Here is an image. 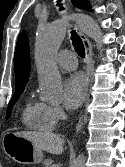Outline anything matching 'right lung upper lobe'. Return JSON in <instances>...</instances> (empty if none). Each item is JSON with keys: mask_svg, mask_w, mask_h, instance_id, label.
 <instances>
[{"mask_svg": "<svg viewBox=\"0 0 125 167\" xmlns=\"http://www.w3.org/2000/svg\"><path fill=\"white\" fill-rule=\"evenodd\" d=\"M15 88H25L30 73L29 45L26 34L18 37L14 54Z\"/></svg>", "mask_w": 125, "mask_h": 167, "instance_id": "obj_1", "label": "right lung upper lobe"}]
</instances>
